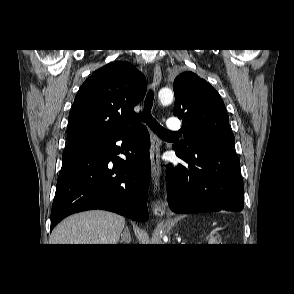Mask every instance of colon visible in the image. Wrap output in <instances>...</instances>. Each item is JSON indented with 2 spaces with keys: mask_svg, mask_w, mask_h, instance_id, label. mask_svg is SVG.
<instances>
[{
  "mask_svg": "<svg viewBox=\"0 0 294 294\" xmlns=\"http://www.w3.org/2000/svg\"><path fill=\"white\" fill-rule=\"evenodd\" d=\"M207 242L209 245H216L217 237L215 236V234L212 233V234L208 235Z\"/></svg>",
  "mask_w": 294,
  "mask_h": 294,
  "instance_id": "colon-1",
  "label": "colon"
}]
</instances>
